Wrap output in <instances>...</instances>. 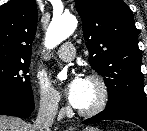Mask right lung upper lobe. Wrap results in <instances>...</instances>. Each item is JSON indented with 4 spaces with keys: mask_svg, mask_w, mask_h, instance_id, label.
Segmentation results:
<instances>
[{
    "mask_svg": "<svg viewBox=\"0 0 147 131\" xmlns=\"http://www.w3.org/2000/svg\"><path fill=\"white\" fill-rule=\"evenodd\" d=\"M37 28L35 0H11L0 7V58L30 60Z\"/></svg>",
    "mask_w": 147,
    "mask_h": 131,
    "instance_id": "right-lung-upper-lobe-1",
    "label": "right lung upper lobe"
}]
</instances>
